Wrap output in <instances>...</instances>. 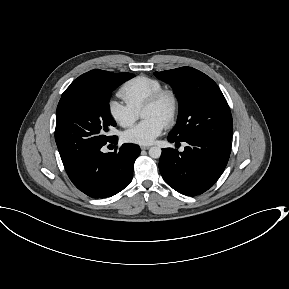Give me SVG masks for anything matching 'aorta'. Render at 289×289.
I'll list each match as a JSON object with an SVG mask.
<instances>
[{
    "label": "aorta",
    "mask_w": 289,
    "mask_h": 289,
    "mask_svg": "<svg viewBox=\"0 0 289 289\" xmlns=\"http://www.w3.org/2000/svg\"><path fill=\"white\" fill-rule=\"evenodd\" d=\"M161 149L159 147H151L149 149V156L152 158H159L161 156Z\"/></svg>",
    "instance_id": "aorta-1"
}]
</instances>
